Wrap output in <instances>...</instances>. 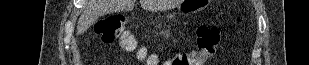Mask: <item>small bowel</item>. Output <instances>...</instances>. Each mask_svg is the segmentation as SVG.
<instances>
[{
  "label": "small bowel",
  "mask_w": 309,
  "mask_h": 65,
  "mask_svg": "<svg viewBox=\"0 0 309 65\" xmlns=\"http://www.w3.org/2000/svg\"><path fill=\"white\" fill-rule=\"evenodd\" d=\"M155 64H156V63H151V62L148 63V65H155Z\"/></svg>",
  "instance_id": "small-bowel-1"
}]
</instances>
